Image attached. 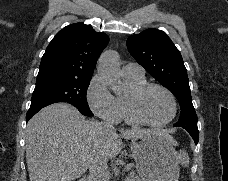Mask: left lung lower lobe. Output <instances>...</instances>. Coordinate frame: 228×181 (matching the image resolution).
Segmentation results:
<instances>
[{
  "label": "left lung lower lobe",
  "mask_w": 228,
  "mask_h": 181,
  "mask_svg": "<svg viewBox=\"0 0 228 181\" xmlns=\"http://www.w3.org/2000/svg\"><path fill=\"white\" fill-rule=\"evenodd\" d=\"M186 131L194 139L195 144H197L198 143V140H199V132H198V129H187Z\"/></svg>",
  "instance_id": "1"
}]
</instances>
